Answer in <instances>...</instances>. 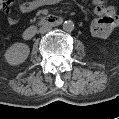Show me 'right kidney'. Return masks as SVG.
I'll return each instance as SVG.
<instances>
[{
  "label": "right kidney",
  "mask_w": 119,
  "mask_h": 119,
  "mask_svg": "<svg viewBox=\"0 0 119 119\" xmlns=\"http://www.w3.org/2000/svg\"><path fill=\"white\" fill-rule=\"evenodd\" d=\"M30 48L24 43H15L4 54L5 60L10 65H19L29 56Z\"/></svg>",
  "instance_id": "right-kidney-1"
}]
</instances>
